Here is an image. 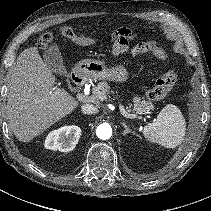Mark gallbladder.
Masks as SVG:
<instances>
[{
    "mask_svg": "<svg viewBox=\"0 0 211 211\" xmlns=\"http://www.w3.org/2000/svg\"><path fill=\"white\" fill-rule=\"evenodd\" d=\"M47 66L55 73L64 74L66 69L63 65V58L57 45L49 46L43 54Z\"/></svg>",
    "mask_w": 211,
    "mask_h": 211,
    "instance_id": "bac80fb5",
    "label": "gallbladder"
}]
</instances>
